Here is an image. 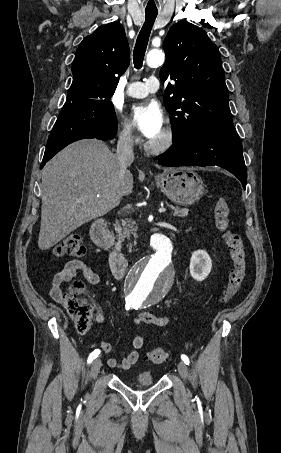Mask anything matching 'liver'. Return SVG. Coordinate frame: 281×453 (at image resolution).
<instances>
[{"label":"liver","mask_w":281,"mask_h":453,"mask_svg":"<svg viewBox=\"0 0 281 453\" xmlns=\"http://www.w3.org/2000/svg\"><path fill=\"white\" fill-rule=\"evenodd\" d=\"M119 160L106 142L84 138L68 144L42 170L38 247L47 251L92 218L106 214L130 194L133 174L119 180ZM166 170V168H165Z\"/></svg>","instance_id":"liver-1"}]
</instances>
